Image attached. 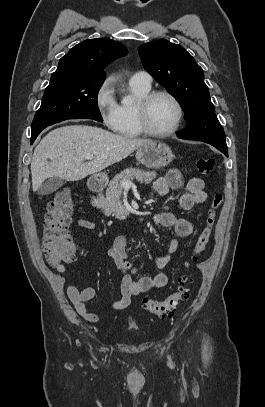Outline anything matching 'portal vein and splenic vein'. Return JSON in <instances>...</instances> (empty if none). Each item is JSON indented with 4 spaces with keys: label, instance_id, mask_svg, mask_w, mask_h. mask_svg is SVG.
<instances>
[{
    "label": "portal vein and splenic vein",
    "instance_id": "18ae733b",
    "mask_svg": "<svg viewBox=\"0 0 265 407\" xmlns=\"http://www.w3.org/2000/svg\"><path fill=\"white\" fill-rule=\"evenodd\" d=\"M86 159H88V160H93L94 159V156H92V155H87L86 156ZM121 185H122V187L124 188V189H130L131 187H134L135 186V184L134 183H132L131 181H123L122 183H121Z\"/></svg>",
    "mask_w": 265,
    "mask_h": 407
}]
</instances>
